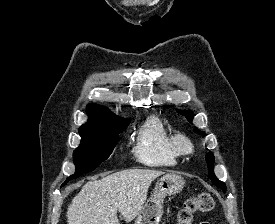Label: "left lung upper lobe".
Returning <instances> with one entry per match:
<instances>
[{
  "instance_id": "left-lung-upper-lobe-1",
  "label": "left lung upper lobe",
  "mask_w": 275,
  "mask_h": 224,
  "mask_svg": "<svg viewBox=\"0 0 275 224\" xmlns=\"http://www.w3.org/2000/svg\"><path fill=\"white\" fill-rule=\"evenodd\" d=\"M180 114H183L186 116V118L191 122L193 119V116L191 115V112H185V111H178ZM206 160L208 164V172H209V178L212 180L213 184L221 188L224 192H226V185L220 181L214 174V155L212 153H208L206 155Z\"/></svg>"
}]
</instances>
